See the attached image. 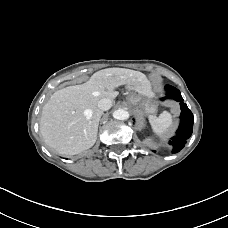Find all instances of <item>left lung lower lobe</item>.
Instances as JSON below:
<instances>
[{"mask_svg":"<svg viewBox=\"0 0 228 228\" xmlns=\"http://www.w3.org/2000/svg\"><path fill=\"white\" fill-rule=\"evenodd\" d=\"M165 89L166 97L180 102L181 106L180 125L176 135L172 138V141L169 142V144L173 146V153H177L185 146L186 140L192 134L194 117L187 105L183 102V98L178 89L170 85H166ZM165 98H162V100Z\"/></svg>","mask_w":228,"mask_h":228,"instance_id":"left-lung-lower-lobe-1","label":"left lung lower lobe"}]
</instances>
